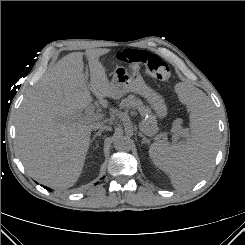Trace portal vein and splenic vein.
<instances>
[{"label":"portal vein and splenic vein","mask_w":245,"mask_h":245,"mask_svg":"<svg viewBox=\"0 0 245 245\" xmlns=\"http://www.w3.org/2000/svg\"><path fill=\"white\" fill-rule=\"evenodd\" d=\"M95 107L94 106H89L85 110V115L90 118V119H98L100 116L94 113ZM140 129L147 135L151 136V132L145 128V125L143 123H140ZM180 132V130L178 131ZM177 139V134L173 135V140L175 141Z\"/></svg>","instance_id":"portal-vein-and-splenic-vein-1"}]
</instances>
